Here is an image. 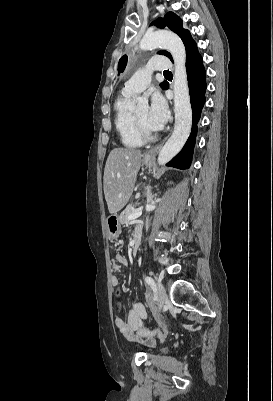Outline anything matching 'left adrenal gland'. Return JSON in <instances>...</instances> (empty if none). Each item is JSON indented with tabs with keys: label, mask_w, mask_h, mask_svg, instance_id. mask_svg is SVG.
<instances>
[{
	"label": "left adrenal gland",
	"mask_w": 273,
	"mask_h": 401,
	"mask_svg": "<svg viewBox=\"0 0 273 401\" xmlns=\"http://www.w3.org/2000/svg\"><path fill=\"white\" fill-rule=\"evenodd\" d=\"M151 188L152 186H149L147 190V203H151V201H153L154 196H157V192H155V194H152Z\"/></svg>",
	"instance_id": "obj_1"
}]
</instances>
